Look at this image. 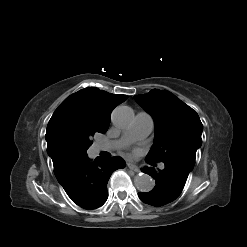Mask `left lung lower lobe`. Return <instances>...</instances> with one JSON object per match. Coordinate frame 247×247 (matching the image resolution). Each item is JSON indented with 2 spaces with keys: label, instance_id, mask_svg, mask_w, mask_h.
<instances>
[{
  "label": "left lung lower lobe",
  "instance_id": "1",
  "mask_svg": "<svg viewBox=\"0 0 247 247\" xmlns=\"http://www.w3.org/2000/svg\"><path fill=\"white\" fill-rule=\"evenodd\" d=\"M164 165L165 168L159 171L152 167L143 169L144 173L156 180V186L152 191L138 194L143 202L153 206H163L175 200L182 192L189 171L174 163H164Z\"/></svg>",
  "mask_w": 247,
  "mask_h": 247
}]
</instances>
